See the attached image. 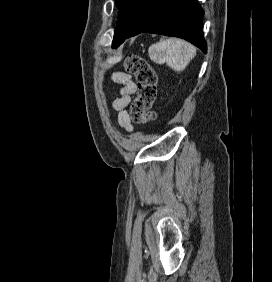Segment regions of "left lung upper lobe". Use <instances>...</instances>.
Returning a JSON list of instances; mask_svg holds the SVG:
<instances>
[{"mask_svg": "<svg viewBox=\"0 0 272 282\" xmlns=\"http://www.w3.org/2000/svg\"><path fill=\"white\" fill-rule=\"evenodd\" d=\"M125 0H116L117 7L120 8Z\"/></svg>", "mask_w": 272, "mask_h": 282, "instance_id": "5c2ea615", "label": "left lung upper lobe"}]
</instances>
